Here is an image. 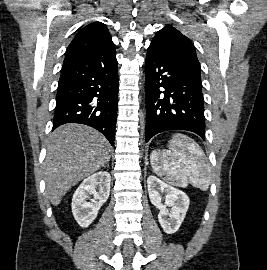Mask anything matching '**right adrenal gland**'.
Wrapping results in <instances>:
<instances>
[{"mask_svg": "<svg viewBox=\"0 0 267 270\" xmlns=\"http://www.w3.org/2000/svg\"><path fill=\"white\" fill-rule=\"evenodd\" d=\"M105 167H107V168H108V167H109V163H107V164L105 165Z\"/></svg>", "mask_w": 267, "mask_h": 270, "instance_id": "1", "label": "right adrenal gland"}]
</instances>
